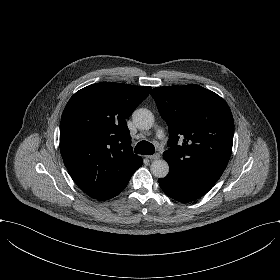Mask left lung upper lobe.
Returning a JSON list of instances; mask_svg holds the SVG:
<instances>
[{
    "mask_svg": "<svg viewBox=\"0 0 280 280\" xmlns=\"http://www.w3.org/2000/svg\"><path fill=\"white\" fill-rule=\"evenodd\" d=\"M151 95L169 128L163 157L170 172L217 181L230 159L234 134L224 99L195 84L156 87Z\"/></svg>",
    "mask_w": 280,
    "mask_h": 280,
    "instance_id": "1",
    "label": "left lung upper lobe"
}]
</instances>
